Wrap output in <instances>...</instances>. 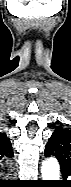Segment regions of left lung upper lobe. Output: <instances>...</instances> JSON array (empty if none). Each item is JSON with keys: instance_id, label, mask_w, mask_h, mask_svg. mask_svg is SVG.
<instances>
[{"instance_id": "5c2ea615", "label": "left lung upper lobe", "mask_w": 71, "mask_h": 187, "mask_svg": "<svg viewBox=\"0 0 71 187\" xmlns=\"http://www.w3.org/2000/svg\"><path fill=\"white\" fill-rule=\"evenodd\" d=\"M44 155L56 157L61 170L71 174V130L57 126L47 142Z\"/></svg>"}]
</instances>
